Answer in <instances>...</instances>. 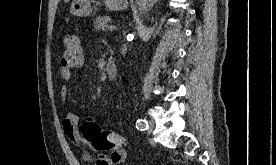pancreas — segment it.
Here are the masks:
<instances>
[{
  "mask_svg": "<svg viewBox=\"0 0 276 165\" xmlns=\"http://www.w3.org/2000/svg\"><path fill=\"white\" fill-rule=\"evenodd\" d=\"M108 22H111V19L109 16H103V17H96L94 20V28L96 31H106L108 27Z\"/></svg>",
  "mask_w": 276,
  "mask_h": 165,
  "instance_id": "cf45deb5",
  "label": "pancreas"
}]
</instances>
